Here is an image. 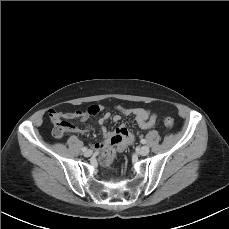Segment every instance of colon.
<instances>
[{
  "instance_id": "5ec220e1",
  "label": "colon",
  "mask_w": 229,
  "mask_h": 229,
  "mask_svg": "<svg viewBox=\"0 0 229 229\" xmlns=\"http://www.w3.org/2000/svg\"><path fill=\"white\" fill-rule=\"evenodd\" d=\"M99 110L100 108L98 105H91L86 110V114L96 115ZM50 118L54 125L53 133L56 137L62 136L70 128V124L59 114L51 113ZM163 123L165 127L169 129L174 126V121L171 117L164 118ZM123 141L124 137L122 135H115L112 138L110 145L104 150L101 156L102 163L108 165L115 159L117 153L122 149L123 145H127L123 143Z\"/></svg>"
}]
</instances>
